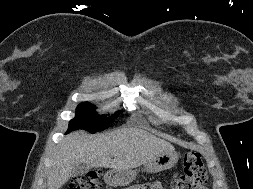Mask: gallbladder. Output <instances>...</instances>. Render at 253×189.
<instances>
[{"mask_svg":"<svg viewBox=\"0 0 253 189\" xmlns=\"http://www.w3.org/2000/svg\"><path fill=\"white\" fill-rule=\"evenodd\" d=\"M91 169V166L84 163H77L73 165L72 175L73 176H80Z\"/></svg>","mask_w":253,"mask_h":189,"instance_id":"bac80fb5","label":"gallbladder"}]
</instances>
